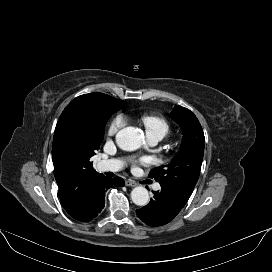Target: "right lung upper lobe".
Here are the masks:
<instances>
[{"label":"right lung upper lobe","instance_id":"1","mask_svg":"<svg viewBox=\"0 0 272 272\" xmlns=\"http://www.w3.org/2000/svg\"><path fill=\"white\" fill-rule=\"evenodd\" d=\"M103 93H90L73 99L62 112L54 133L52 160L61 202L72 217L81 214L94 196L96 183L103 177L87 163L70 144V136L78 130L108 99ZM116 102H126L113 98Z\"/></svg>","mask_w":272,"mask_h":272}]
</instances>
